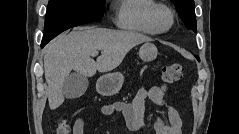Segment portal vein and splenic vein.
<instances>
[{"label": "portal vein and splenic vein", "instance_id": "18ae733b", "mask_svg": "<svg viewBox=\"0 0 239 134\" xmlns=\"http://www.w3.org/2000/svg\"><path fill=\"white\" fill-rule=\"evenodd\" d=\"M92 55H98V51L93 52Z\"/></svg>", "mask_w": 239, "mask_h": 134}]
</instances>
